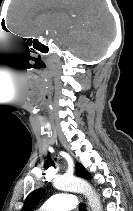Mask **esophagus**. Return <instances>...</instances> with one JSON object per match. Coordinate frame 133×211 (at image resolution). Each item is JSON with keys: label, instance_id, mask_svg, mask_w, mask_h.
<instances>
[{"label": "esophagus", "instance_id": "obj_1", "mask_svg": "<svg viewBox=\"0 0 133 211\" xmlns=\"http://www.w3.org/2000/svg\"><path fill=\"white\" fill-rule=\"evenodd\" d=\"M87 211H91L89 206H87Z\"/></svg>", "mask_w": 133, "mask_h": 211}]
</instances>
